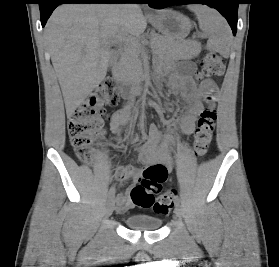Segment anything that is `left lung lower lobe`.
<instances>
[{"label": "left lung lower lobe", "mask_w": 279, "mask_h": 267, "mask_svg": "<svg viewBox=\"0 0 279 267\" xmlns=\"http://www.w3.org/2000/svg\"><path fill=\"white\" fill-rule=\"evenodd\" d=\"M151 7L155 8H165L175 4H190V3H199L207 4L215 9H217L224 17L227 19L233 34H236L237 31V11L239 0H147Z\"/></svg>", "instance_id": "left-lung-lower-lobe-1"}]
</instances>
